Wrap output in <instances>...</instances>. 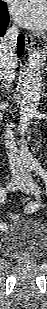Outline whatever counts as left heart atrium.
<instances>
[{"label":"left heart atrium","instance_id":"left-heart-atrium-1","mask_svg":"<svg viewBox=\"0 0 47 309\" xmlns=\"http://www.w3.org/2000/svg\"><path fill=\"white\" fill-rule=\"evenodd\" d=\"M11 14L20 25L43 30L47 25L46 0H13Z\"/></svg>","mask_w":47,"mask_h":309}]
</instances>
